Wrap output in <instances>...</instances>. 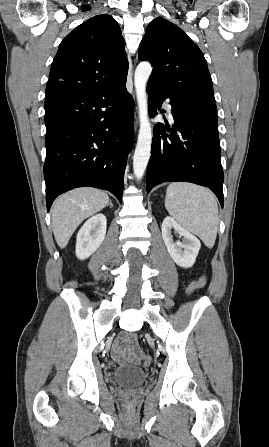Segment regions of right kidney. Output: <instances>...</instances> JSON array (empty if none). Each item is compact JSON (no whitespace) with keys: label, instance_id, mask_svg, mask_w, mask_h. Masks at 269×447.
Here are the masks:
<instances>
[{"label":"right kidney","instance_id":"right-kidney-1","mask_svg":"<svg viewBox=\"0 0 269 447\" xmlns=\"http://www.w3.org/2000/svg\"><path fill=\"white\" fill-rule=\"evenodd\" d=\"M106 224L104 214H96L82 225L76 241V255L79 259H86L101 245L106 235Z\"/></svg>","mask_w":269,"mask_h":447}]
</instances>
